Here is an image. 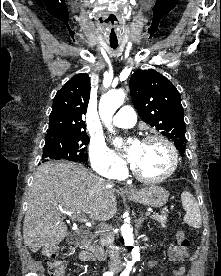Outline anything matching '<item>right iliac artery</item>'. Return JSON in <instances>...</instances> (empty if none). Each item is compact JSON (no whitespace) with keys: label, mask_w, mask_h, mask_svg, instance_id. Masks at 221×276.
<instances>
[{"label":"right iliac artery","mask_w":221,"mask_h":276,"mask_svg":"<svg viewBox=\"0 0 221 276\" xmlns=\"http://www.w3.org/2000/svg\"><path fill=\"white\" fill-rule=\"evenodd\" d=\"M113 273L112 272H105L103 276H112Z\"/></svg>","instance_id":"82829eb1"}]
</instances>
